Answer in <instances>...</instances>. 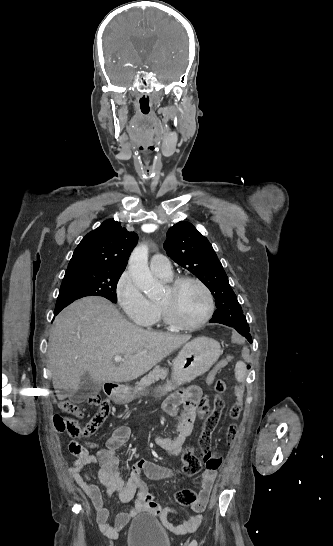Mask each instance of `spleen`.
Listing matches in <instances>:
<instances>
[{
  "mask_svg": "<svg viewBox=\"0 0 333 546\" xmlns=\"http://www.w3.org/2000/svg\"><path fill=\"white\" fill-rule=\"evenodd\" d=\"M247 375L246 364L242 361L236 363L235 366V377L238 382H244Z\"/></svg>",
  "mask_w": 333,
  "mask_h": 546,
  "instance_id": "spleen-1",
  "label": "spleen"
}]
</instances>
